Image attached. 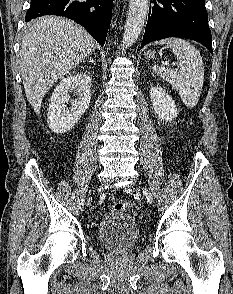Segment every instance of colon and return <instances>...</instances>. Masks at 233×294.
<instances>
[{
  "mask_svg": "<svg viewBox=\"0 0 233 294\" xmlns=\"http://www.w3.org/2000/svg\"><path fill=\"white\" fill-rule=\"evenodd\" d=\"M131 208V204L128 201H120L115 204L114 209L118 212H126Z\"/></svg>",
  "mask_w": 233,
  "mask_h": 294,
  "instance_id": "5ec220e1",
  "label": "colon"
}]
</instances>
